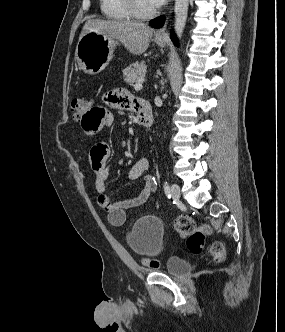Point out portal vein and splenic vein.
<instances>
[{
	"label": "portal vein and splenic vein",
	"mask_w": 285,
	"mask_h": 332,
	"mask_svg": "<svg viewBox=\"0 0 285 332\" xmlns=\"http://www.w3.org/2000/svg\"><path fill=\"white\" fill-rule=\"evenodd\" d=\"M144 82V78H141L135 85L134 89L135 90H141L142 89V83Z\"/></svg>",
	"instance_id": "1"
}]
</instances>
